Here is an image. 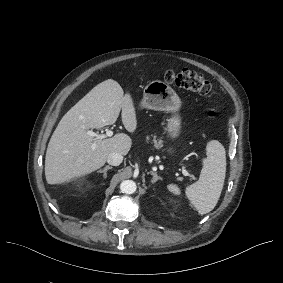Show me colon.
<instances>
[{"label":"colon","instance_id":"5ec220e1","mask_svg":"<svg viewBox=\"0 0 283 283\" xmlns=\"http://www.w3.org/2000/svg\"><path fill=\"white\" fill-rule=\"evenodd\" d=\"M164 80L170 85L201 95H211L213 93V87L209 80L202 74L190 69L167 71ZM215 115L216 113L213 111L209 113L210 118Z\"/></svg>","mask_w":283,"mask_h":283}]
</instances>
